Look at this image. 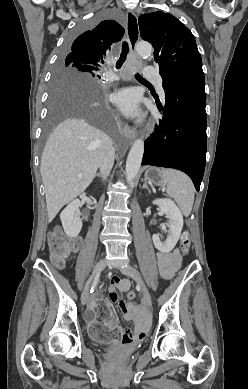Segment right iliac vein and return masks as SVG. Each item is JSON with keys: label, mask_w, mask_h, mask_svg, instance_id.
<instances>
[{"label": "right iliac vein", "mask_w": 248, "mask_h": 389, "mask_svg": "<svg viewBox=\"0 0 248 389\" xmlns=\"http://www.w3.org/2000/svg\"><path fill=\"white\" fill-rule=\"evenodd\" d=\"M106 266V260H100L94 267V270H93V273H92V277H95L96 275H98ZM90 288V284H88L82 295H81V303L82 305H85L86 302H87V299H88V290Z\"/></svg>", "instance_id": "1"}]
</instances>
